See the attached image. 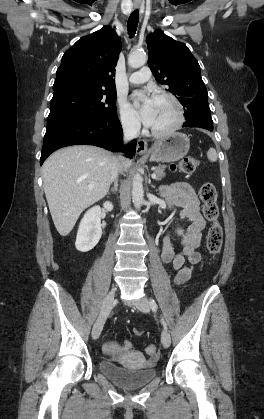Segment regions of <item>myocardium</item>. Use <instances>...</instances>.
<instances>
[{"label": "myocardium", "instance_id": "obj_1", "mask_svg": "<svg viewBox=\"0 0 264 419\" xmlns=\"http://www.w3.org/2000/svg\"><path fill=\"white\" fill-rule=\"evenodd\" d=\"M156 98L168 100L169 102L172 103V105L175 108V120L171 126H169L168 128L164 130H156L153 128H151L150 130L151 134L154 137L163 138V137H167L173 134L175 131H177L181 127V125L184 122V108H183L182 103L179 101V99L172 93L165 92V91L159 92L156 95Z\"/></svg>", "mask_w": 264, "mask_h": 419}]
</instances>
